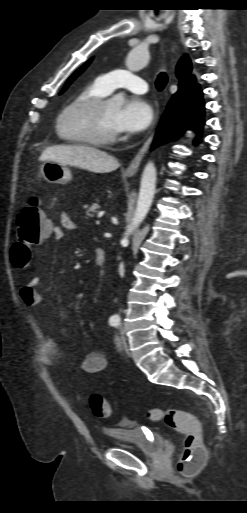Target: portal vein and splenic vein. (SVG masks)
<instances>
[{"mask_svg":"<svg viewBox=\"0 0 247 513\" xmlns=\"http://www.w3.org/2000/svg\"><path fill=\"white\" fill-rule=\"evenodd\" d=\"M96 224H100V221H99V220H97V221H96Z\"/></svg>","mask_w":247,"mask_h":513,"instance_id":"portal-vein-and-splenic-vein-1","label":"portal vein and splenic vein"}]
</instances>
